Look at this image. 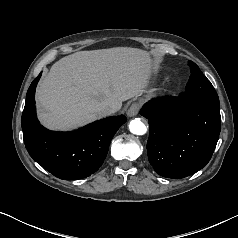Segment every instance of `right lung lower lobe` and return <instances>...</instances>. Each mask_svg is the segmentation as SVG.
Returning a JSON list of instances; mask_svg holds the SVG:
<instances>
[{
	"mask_svg": "<svg viewBox=\"0 0 238 238\" xmlns=\"http://www.w3.org/2000/svg\"><path fill=\"white\" fill-rule=\"evenodd\" d=\"M40 76L28 89L21 119L27 151L44 169L60 179L88 177L102 165L111 139L126 122V117H108L73 132L49 131L36 117L34 95Z\"/></svg>",
	"mask_w": 238,
	"mask_h": 238,
	"instance_id": "1",
	"label": "right lung lower lobe"
}]
</instances>
